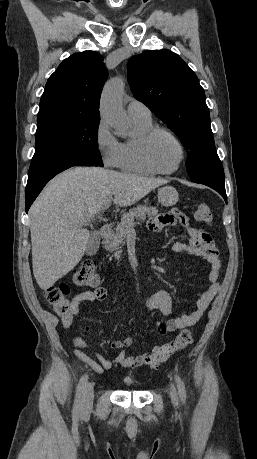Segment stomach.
Segmentation results:
<instances>
[{
  "mask_svg": "<svg viewBox=\"0 0 257 459\" xmlns=\"http://www.w3.org/2000/svg\"><path fill=\"white\" fill-rule=\"evenodd\" d=\"M179 200V194L177 190L172 186H165L158 189V201L163 206H173Z\"/></svg>",
  "mask_w": 257,
  "mask_h": 459,
  "instance_id": "1",
  "label": "stomach"
}]
</instances>
